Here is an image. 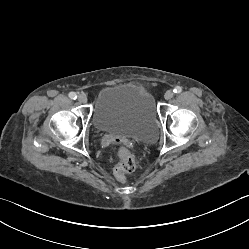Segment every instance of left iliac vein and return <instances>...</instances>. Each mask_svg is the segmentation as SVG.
Instances as JSON below:
<instances>
[{
  "label": "left iliac vein",
  "mask_w": 249,
  "mask_h": 249,
  "mask_svg": "<svg viewBox=\"0 0 249 249\" xmlns=\"http://www.w3.org/2000/svg\"><path fill=\"white\" fill-rule=\"evenodd\" d=\"M173 95H174L173 91L168 90V91L165 92L164 98H165L166 100H170V99L173 97Z\"/></svg>",
  "instance_id": "left-iliac-vein-1"
}]
</instances>
